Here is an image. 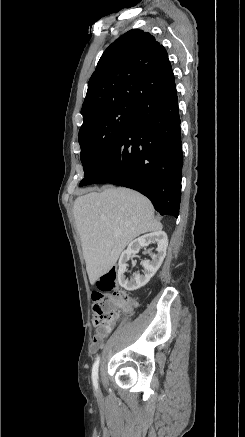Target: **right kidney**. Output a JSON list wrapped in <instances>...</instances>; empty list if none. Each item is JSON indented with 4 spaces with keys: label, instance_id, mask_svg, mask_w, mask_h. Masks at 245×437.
I'll return each mask as SVG.
<instances>
[{
    "label": "right kidney",
    "instance_id": "obj_1",
    "mask_svg": "<svg viewBox=\"0 0 245 437\" xmlns=\"http://www.w3.org/2000/svg\"><path fill=\"white\" fill-rule=\"evenodd\" d=\"M154 242L157 243V249H156L157 254H152L150 250H148L147 253H149L152 260L151 261L144 260L142 262V267L144 268L143 275L137 273L130 280L126 279L124 273L128 266L127 262L130 259V257L136 254L141 247L149 246L151 243ZM167 246H168V238L166 233L163 231H156L149 234H145L130 242L127 250L122 252L119 258V262H118L119 269L117 274L119 284L128 291H134L145 286L150 281V279L155 275L157 270L160 268L166 256Z\"/></svg>",
    "mask_w": 245,
    "mask_h": 437
}]
</instances>
